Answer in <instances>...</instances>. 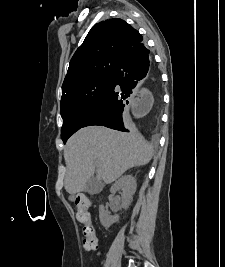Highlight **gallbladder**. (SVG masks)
<instances>
[{"instance_id": "1", "label": "gallbladder", "mask_w": 225, "mask_h": 267, "mask_svg": "<svg viewBox=\"0 0 225 267\" xmlns=\"http://www.w3.org/2000/svg\"><path fill=\"white\" fill-rule=\"evenodd\" d=\"M102 184L98 182L94 177L90 178L86 184V191L90 193H97L101 190Z\"/></svg>"}]
</instances>
